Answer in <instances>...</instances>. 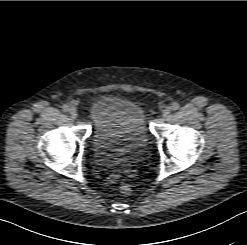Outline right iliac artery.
Masks as SVG:
<instances>
[{"label":"right iliac artery","mask_w":247,"mask_h":245,"mask_svg":"<svg viewBox=\"0 0 247 245\" xmlns=\"http://www.w3.org/2000/svg\"><path fill=\"white\" fill-rule=\"evenodd\" d=\"M62 109H63V111L67 112V111H69V106L66 105V104H64V105L62 106Z\"/></svg>","instance_id":"1"}]
</instances>
